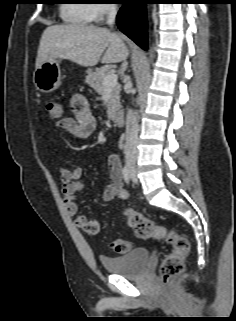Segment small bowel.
Instances as JSON below:
<instances>
[{
    "label": "small bowel",
    "mask_w": 236,
    "mask_h": 321,
    "mask_svg": "<svg viewBox=\"0 0 236 321\" xmlns=\"http://www.w3.org/2000/svg\"><path fill=\"white\" fill-rule=\"evenodd\" d=\"M70 107L73 116L62 118L56 123V127L78 139H87L92 136L96 129V121L91 114L88 99L84 95L76 94L71 98ZM108 170L110 182L103 191L102 199L104 201L112 200L115 197L125 199L127 192L123 188L121 161L117 155H109ZM59 173L62 182L63 203L67 213L74 217L77 227L88 234L98 233L99 221L88 219L80 213L76 202L77 193L83 188V184L80 182L83 174L82 168L61 167Z\"/></svg>",
    "instance_id": "1"
}]
</instances>
